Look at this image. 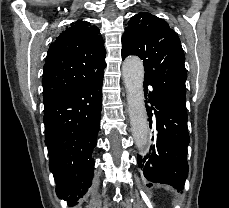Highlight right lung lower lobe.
Returning <instances> with one entry per match:
<instances>
[{
    "label": "right lung lower lobe",
    "mask_w": 229,
    "mask_h": 208,
    "mask_svg": "<svg viewBox=\"0 0 229 208\" xmlns=\"http://www.w3.org/2000/svg\"><path fill=\"white\" fill-rule=\"evenodd\" d=\"M104 71L44 104L45 144L59 198L75 204L91 186Z\"/></svg>",
    "instance_id": "right-lung-lower-lobe-1"
}]
</instances>
